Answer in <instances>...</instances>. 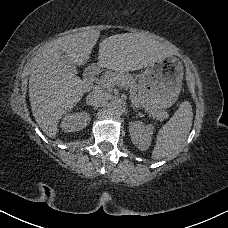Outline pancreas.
<instances>
[{
	"label": "pancreas",
	"instance_id": "1",
	"mask_svg": "<svg viewBox=\"0 0 228 228\" xmlns=\"http://www.w3.org/2000/svg\"><path fill=\"white\" fill-rule=\"evenodd\" d=\"M100 79L107 81L111 80L113 87L117 85L125 90H129L130 98L134 100L140 107H144L145 111L148 112L150 116H153L160 121H163L169 117L168 113L164 110H151L146 107L145 102L137 94L138 84L136 82V78L130 73L110 70L106 71ZM102 88L106 89L104 87Z\"/></svg>",
	"mask_w": 228,
	"mask_h": 228
}]
</instances>
